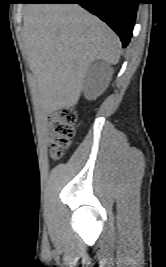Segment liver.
<instances>
[{"mask_svg":"<svg viewBox=\"0 0 166 267\" xmlns=\"http://www.w3.org/2000/svg\"><path fill=\"white\" fill-rule=\"evenodd\" d=\"M23 40L45 112L76 105L89 65L117 64L121 54L118 36L77 4L28 5Z\"/></svg>","mask_w":166,"mask_h":267,"instance_id":"1","label":"liver"}]
</instances>
